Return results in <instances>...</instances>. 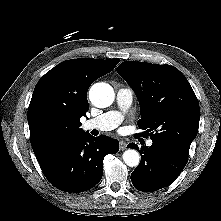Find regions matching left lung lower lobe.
<instances>
[{
  "label": "left lung lower lobe",
  "instance_id": "obj_1",
  "mask_svg": "<svg viewBox=\"0 0 221 221\" xmlns=\"http://www.w3.org/2000/svg\"><path fill=\"white\" fill-rule=\"evenodd\" d=\"M127 147L136 148L141 154L140 164L131 173V181L139 191L153 192L169 186L187 164V155L162 142L153 141L141 150L133 143Z\"/></svg>",
  "mask_w": 221,
  "mask_h": 221
}]
</instances>
